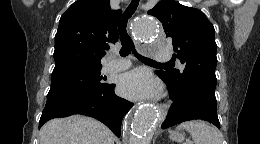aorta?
I'll return each mask as SVG.
<instances>
[{"instance_id": "1", "label": "aorta", "mask_w": 260, "mask_h": 144, "mask_svg": "<svg viewBox=\"0 0 260 144\" xmlns=\"http://www.w3.org/2000/svg\"><path fill=\"white\" fill-rule=\"evenodd\" d=\"M136 37L144 42L158 38L157 23L153 18L138 19L133 27ZM158 119L154 106L144 105L134 110L126 119L129 144H150L153 127Z\"/></svg>"}]
</instances>
